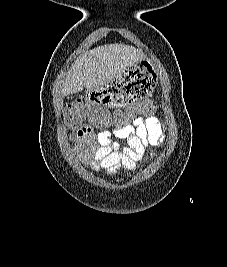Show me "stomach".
Segmentation results:
<instances>
[{"instance_id":"stomach-1","label":"stomach","mask_w":227,"mask_h":267,"mask_svg":"<svg viewBox=\"0 0 227 267\" xmlns=\"http://www.w3.org/2000/svg\"><path fill=\"white\" fill-rule=\"evenodd\" d=\"M151 66L147 59L129 64L118 77H111V82H105V87H92V91H87L84 104L127 107V104L144 101V96H150V92H155V87H158L157 73H154Z\"/></svg>"}]
</instances>
